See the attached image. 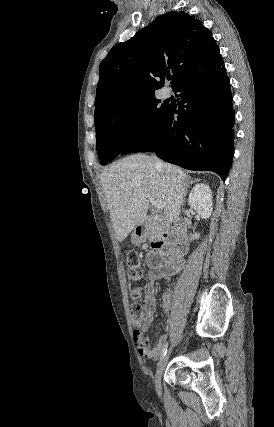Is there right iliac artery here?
Wrapping results in <instances>:
<instances>
[{"label": "right iliac artery", "mask_w": 274, "mask_h": 427, "mask_svg": "<svg viewBox=\"0 0 274 427\" xmlns=\"http://www.w3.org/2000/svg\"><path fill=\"white\" fill-rule=\"evenodd\" d=\"M167 347H168V343H166V345L164 346L161 356H160V361L162 360V358L166 355L167 353Z\"/></svg>", "instance_id": "82829eb1"}]
</instances>
